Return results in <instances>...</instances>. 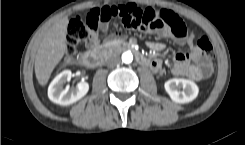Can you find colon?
Masks as SVG:
<instances>
[{
  "instance_id": "1",
  "label": "colon",
  "mask_w": 245,
  "mask_h": 145,
  "mask_svg": "<svg viewBox=\"0 0 245 145\" xmlns=\"http://www.w3.org/2000/svg\"><path fill=\"white\" fill-rule=\"evenodd\" d=\"M121 25L125 27L142 28V29H153L159 28V22L154 18V16L149 12H144L141 10H133L130 15L123 16L121 18ZM173 29L175 32L179 33L183 30V26L179 22L173 23ZM86 36V29L79 23H73L70 26V38L73 42H82L83 38ZM196 49L203 52L205 55L210 57V42L206 36L200 37L196 41ZM206 67V71H207Z\"/></svg>"
}]
</instances>
